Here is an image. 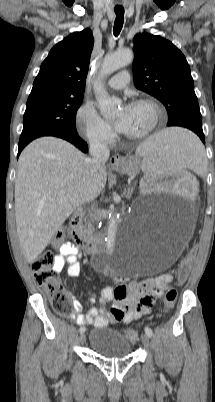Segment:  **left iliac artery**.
I'll list each match as a JSON object with an SVG mask.
<instances>
[{
	"mask_svg": "<svg viewBox=\"0 0 215 402\" xmlns=\"http://www.w3.org/2000/svg\"><path fill=\"white\" fill-rule=\"evenodd\" d=\"M145 333H146L149 337H152V335H153L152 329H151L149 326H146V327H145Z\"/></svg>",
	"mask_w": 215,
	"mask_h": 402,
	"instance_id": "obj_1",
	"label": "left iliac artery"
}]
</instances>
